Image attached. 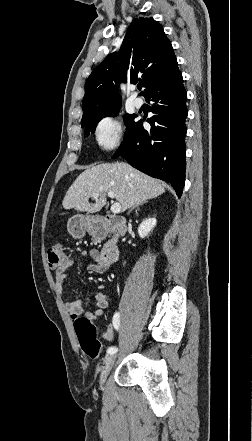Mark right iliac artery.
<instances>
[{
  "label": "right iliac artery",
  "mask_w": 252,
  "mask_h": 441,
  "mask_svg": "<svg viewBox=\"0 0 252 441\" xmlns=\"http://www.w3.org/2000/svg\"><path fill=\"white\" fill-rule=\"evenodd\" d=\"M113 324H114V327L116 328V330H118L119 326H120V316H119V313H115L114 314V316H113ZM117 350L118 349L116 347L111 346V347H109L107 349V353L108 354H114V353L117 352Z\"/></svg>",
  "instance_id": "82829eb1"
}]
</instances>
